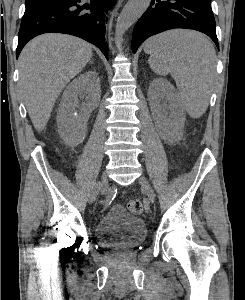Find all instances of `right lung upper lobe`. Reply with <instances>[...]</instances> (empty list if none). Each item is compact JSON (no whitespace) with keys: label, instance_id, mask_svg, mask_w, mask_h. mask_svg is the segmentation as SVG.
I'll use <instances>...</instances> for the list:
<instances>
[{"label":"right lung upper lobe","instance_id":"1","mask_svg":"<svg viewBox=\"0 0 245 300\" xmlns=\"http://www.w3.org/2000/svg\"><path fill=\"white\" fill-rule=\"evenodd\" d=\"M27 1H35V0H26V2H27Z\"/></svg>","mask_w":245,"mask_h":300}]
</instances>
